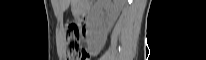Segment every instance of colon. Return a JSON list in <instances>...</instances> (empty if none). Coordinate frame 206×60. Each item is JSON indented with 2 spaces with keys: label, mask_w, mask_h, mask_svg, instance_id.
Returning a JSON list of instances; mask_svg holds the SVG:
<instances>
[{
  "label": "colon",
  "mask_w": 206,
  "mask_h": 60,
  "mask_svg": "<svg viewBox=\"0 0 206 60\" xmlns=\"http://www.w3.org/2000/svg\"><path fill=\"white\" fill-rule=\"evenodd\" d=\"M66 42L69 60H89V54L83 45V36L76 24L68 25Z\"/></svg>",
  "instance_id": "5ec220e1"
}]
</instances>
